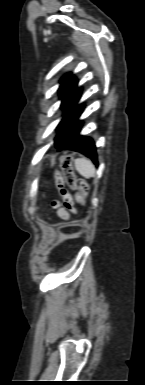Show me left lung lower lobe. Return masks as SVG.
I'll return each mask as SVG.
<instances>
[{"label": "left lung lower lobe", "mask_w": 145, "mask_h": 385, "mask_svg": "<svg viewBox=\"0 0 145 385\" xmlns=\"http://www.w3.org/2000/svg\"><path fill=\"white\" fill-rule=\"evenodd\" d=\"M83 107H75L61 122L58 136L55 138V147L61 150H74L84 153L94 164H98L94 142L89 137L79 135L81 127L78 117Z\"/></svg>", "instance_id": "1"}]
</instances>
